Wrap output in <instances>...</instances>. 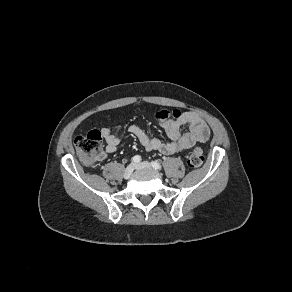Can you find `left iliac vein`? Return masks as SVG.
I'll return each mask as SVG.
<instances>
[{"mask_svg": "<svg viewBox=\"0 0 292 292\" xmlns=\"http://www.w3.org/2000/svg\"><path fill=\"white\" fill-rule=\"evenodd\" d=\"M152 165L148 162H141L135 165V169L150 168Z\"/></svg>", "mask_w": 292, "mask_h": 292, "instance_id": "1", "label": "left iliac vein"}]
</instances>
